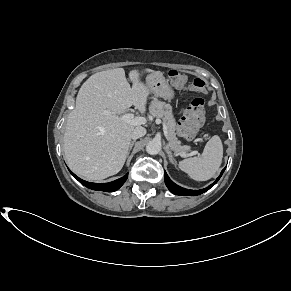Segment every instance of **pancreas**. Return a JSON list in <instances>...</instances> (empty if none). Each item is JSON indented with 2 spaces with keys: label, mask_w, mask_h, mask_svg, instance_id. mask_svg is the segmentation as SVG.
Segmentation results:
<instances>
[{
  "label": "pancreas",
  "mask_w": 291,
  "mask_h": 291,
  "mask_svg": "<svg viewBox=\"0 0 291 291\" xmlns=\"http://www.w3.org/2000/svg\"><path fill=\"white\" fill-rule=\"evenodd\" d=\"M150 113L153 117L162 118L168 130V140L171 148L178 154H185L190 147L181 145V141L176 137V122L172 113V106L159 100L152 101L150 105Z\"/></svg>",
  "instance_id": "1"
}]
</instances>
